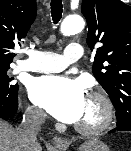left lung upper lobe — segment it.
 <instances>
[{"mask_svg":"<svg viewBox=\"0 0 131 151\" xmlns=\"http://www.w3.org/2000/svg\"><path fill=\"white\" fill-rule=\"evenodd\" d=\"M87 44L97 49L92 72L108 93L117 125L131 121V7L120 0H82Z\"/></svg>","mask_w":131,"mask_h":151,"instance_id":"1","label":"left lung upper lobe"}]
</instances>
